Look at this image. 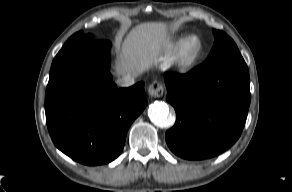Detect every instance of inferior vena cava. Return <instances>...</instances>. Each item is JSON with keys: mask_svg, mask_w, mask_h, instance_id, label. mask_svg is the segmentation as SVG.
<instances>
[{"mask_svg": "<svg viewBox=\"0 0 292 192\" xmlns=\"http://www.w3.org/2000/svg\"><path fill=\"white\" fill-rule=\"evenodd\" d=\"M138 76L137 73H133V74H127L125 76H123L119 81L118 84L122 87H129L134 85L135 83V78Z\"/></svg>", "mask_w": 292, "mask_h": 192, "instance_id": "602c4592", "label": "inferior vena cava"}]
</instances>
